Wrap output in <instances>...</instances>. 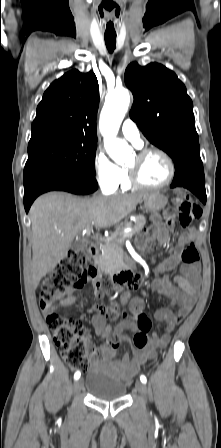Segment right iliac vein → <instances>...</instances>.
Wrapping results in <instances>:
<instances>
[{"label": "right iliac vein", "instance_id": "obj_1", "mask_svg": "<svg viewBox=\"0 0 221 448\" xmlns=\"http://www.w3.org/2000/svg\"><path fill=\"white\" fill-rule=\"evenodd\" d=\"M82 387H83V380L81 378L77 379L76 382L74 383V391L79 392L82 389Z\"/></svg>", "mask_w": 221, "mask_h": 448}]
</instances>
